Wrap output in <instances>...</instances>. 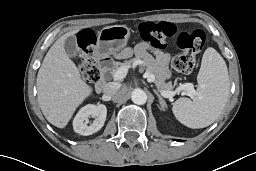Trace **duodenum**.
I'll list each match as a JSON object with an SVG mask.
<instances>
[{
    "label": "duodenum",
    "instance_id": "obj_1",
    "mask_svg": "<svg viewBox=\"0 0 256 171\" xmlns=\"http://www.w3.org/2000/svg\"><path fill=\"white\" fill-rule=\"evenodd\" d=\"M97 66L100 69L101 76L98 82L95 85L96 92L100 93L105 86V73L113 66V61L108 57H101L97 60Z\"/></svg>",
    "mask_w": 256,
    "mask_h": 171
}]
</instances>
